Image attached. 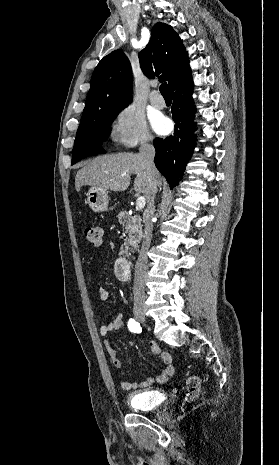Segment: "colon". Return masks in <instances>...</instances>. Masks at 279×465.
Returning a JSON list of instances; mask_svg holds the SVG:
<instances>
[{"label":"colon","mask_w":279,"mask_h":465,"mask_svg":"<svg viewBox=\"0 0 279 465\" xmlns=\"http://www.w3.org/2000/svg\"><path fill=\"white\" fill-rule=\"evenodd\" d=\"M85 237L90 244L100 246L103 239V229L99 226L86 228ZM201 390V380L196 374H191L186 380V400L194 401L198 398Z\"/></svg>","instance_id":"5ec220e1"}]
</instances>
